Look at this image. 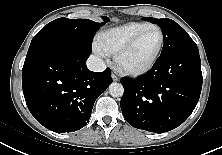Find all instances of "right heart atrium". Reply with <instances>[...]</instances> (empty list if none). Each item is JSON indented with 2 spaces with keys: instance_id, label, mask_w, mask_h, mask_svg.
<instances>
[{
  "instance_id": "obj_1",
  "label": "right heart atrium",
  "mask_w": 222,
  "mask_h": 155,
  "mask_svg": "<svg viewBox=\"0 0 222 155\" xmlns=\"http://www.w3.org/2000/svg\"><path fill=\"white\" fill-rule=\"evenodd\" d=\"M94 51H95L98 55H100V56H105V55L107 54L106 52H104V51L102 50V48L99 46L98 43H95V44H94Z\"/></svg>"
}]
</instances>
